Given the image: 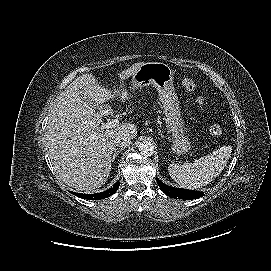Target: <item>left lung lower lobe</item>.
<instances>
[{
  "label": "left lung lower lobe",
  "mask_w": 271,
  "mask_h": 271,
  "mask_svg": "<svg viewBox=\"0 0 271 271\" xmlns=\"http://www.w3.org/2000/svg\"><path fill=\"white\" fill-rule=\"evenodd\" d=\"M156 181L160 187V189L168 196L175 199H197L204 196L203 192H198L194 190H187L182 188H174L170 187L159 179L156 178Z\"/></svg>",
  "instance_id": "left-lung-lower-lobe-1"
}]
</instances>
